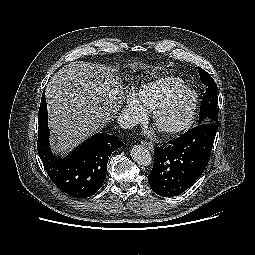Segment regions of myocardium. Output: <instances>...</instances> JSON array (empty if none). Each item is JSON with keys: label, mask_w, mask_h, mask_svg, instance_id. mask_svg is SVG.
Returning a JSON list of instances; mask_svg holds the SVG:
<instances>
[{"label": "myocardium", "mask_w": 255, "mask_h": 255, "mask_svg": "<svg viewBox=\"0 0 255 255\" xmlns=\"http://www.w3.org/2000/svg\"><path fill=\"white\" fill-rule=\"evenodd\" d=\"M189 96L191 98V107L189 114L187 117L178 125L169 127V128H159L157 127V121L160 117V115L168 108L170 107L175 101L178 99ZM198 100L199 96L197 91L194 88L185 86L181 88L180 90L176 91L163 101H161L159 104H157L152 110H151V117L153 124L158 128L159 132L166 137H173L182 134L186 130L190 128L192 125L198 108Z\"/></svg>", "instance_id": "myocardium-1"}]
</instances>
